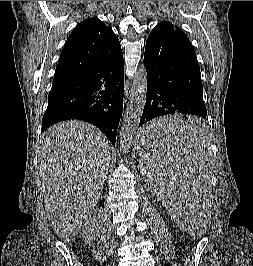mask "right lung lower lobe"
Returning a JSON list of instances; mask_svg holds the SVG:
<instances>
[{"label": "right lung lower lobe", "instance_id": "1", "mask_svg": "<svg viewBox=\"0 0 253 266\" xmlns=\"http://www.w3.org/2000/svg\"><path fill=\"white\" fill-rule=\"evenodd\" d=\"M123 91L124 63L121 53L100 66L53 84L41 131L57 122L84 120L98 127L115 146L123 109Z\"/></svg>", "mask_w": 253, "mask_h": 266}]
</instances>
